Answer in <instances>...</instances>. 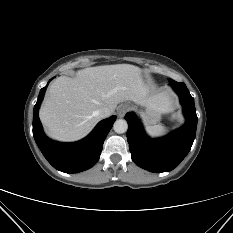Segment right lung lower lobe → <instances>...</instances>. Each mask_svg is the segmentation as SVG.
<instances>
[{"instance_id": "right-lung-lower-lobe-1", "label": "right lung lower lobe", "mask_w": 233, "mask_h": 233, "mask_svg": "<svg viewBox=\"0 0 233 233\" xmlns=\"http://www.w3.org/2000/svg\"><path fill=\"white\" fill-rule=\"evenodd\" d=\"M47 86L40 90L33 111V136L47 161L57 170L77 173L91 168L98 161L104 140L116 120L115 116L102 120L84 139L74 143H60L47 138L42 130L38 110Z\"/></svg>"}]
</instances>
